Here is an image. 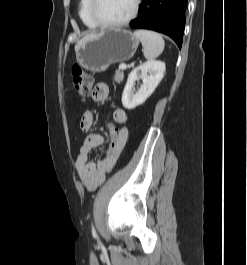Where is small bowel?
Here are the masks:
<instances>
[{
  "instance_id": "1",
  "label": "small bowel",
  "mask_w": 247,
  "mask_h": 265,
  "mask_svg": "<svg viewBox=\"0 0 247 265\" xmlns=\"http://www.w3.org/2000/svg\"><path fill=\"white\" fill-rule=\"evenodd\" d=\"M109 95V87L106 83H97L92 91V98L97 102L105 100ZM113 119L118 124H125L128 119L127 112L122 108H117L113 113ZM93 113L87 110L83 113L80 120V129L83 132H90L93 125ZM120 143L115 155L107 160L99 158L90 160L89 156L94 148L104 143V137L100 134L89 133L83 140L79 155L76 160L75 168L79 179L82 181L85 188L89 191L95 190L106 179V174L113 168L118 155L123 150L127 139L128 130L125 127L119 129Z\"/></svg>"
}]
</instances>
